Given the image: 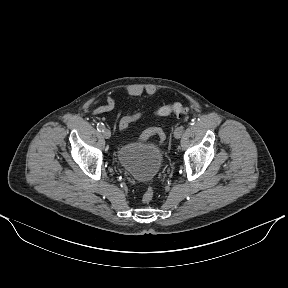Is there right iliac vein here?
<instances>
[{
    "label": "right iliac vein",
    "instance_id": "obj_1",
    "mask_svg": "<svg viewBox=\"0 0 288 288\" xmlns=\"http://www.w3.org/2000/svg\"><path fill=\"white\" fill-rule=\"evenodd\" d=\"M103 137H104L105 139H109V138L111 137V132H110V130L105 129V130L103 131Z\"/></svg>",
    "mask_w": 288,
    "mask_h": 288
}]
</instances>
